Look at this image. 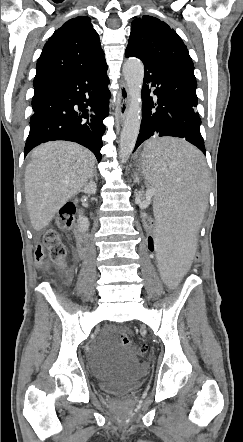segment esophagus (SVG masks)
Instances as JSON below:
<instances>
[{"label": "esophagus", "instance_id": "1", "mask_svg": "<svg viewBox=\"0 0 243 442\" xmlns=\"http://www.w3.org/2000/svg\"><path fill=\"white\" fill-rule=\"evenodd\" d=\"M129 104V92L125 84L121 85L120 97L117 106V112L120 120L122 121L127 113Z\"/></svg>", "mask_w": 243, "mask_h": 442}]
</instances>
